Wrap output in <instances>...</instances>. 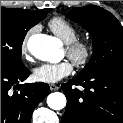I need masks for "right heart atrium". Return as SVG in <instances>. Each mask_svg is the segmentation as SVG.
<instances>
[{"mask_svg": "<svg viewBox=\"0 0 123 123\" xmlns=\"http://www.w3.org/2000/svg\"><path fill=\"white\" fill-rule=\"evenodd\" d=\"M29 35V34H28ZM28 35L24 38L22 44H21V54L28 59L29 55H28V51H27V39H28Z\"/></svg>", "mask_w": 123, "mask_h": 123, "instance_id": "obj_1", "label": "right heart atrium"}]
</instances>
